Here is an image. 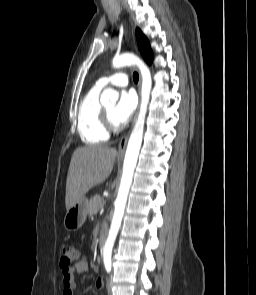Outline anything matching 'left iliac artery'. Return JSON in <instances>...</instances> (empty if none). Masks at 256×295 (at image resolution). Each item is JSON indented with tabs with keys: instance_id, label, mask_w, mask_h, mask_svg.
<instances>
[{
	"instance_id": "1",
	"label": "left iliac artery",
	"mask_w": 256,
	"mask_h": 295,
	"mask_svg": "<svg viewBox=\"0 0 256 295\" xmlns=\"http://www.w3.org/2000/svg\"><path fill=\"white\" fill-rule=\"evenodd\" d=\"M105 269L108 273L111 271V262H105Z\"/></svg>"
}]
</instances>
